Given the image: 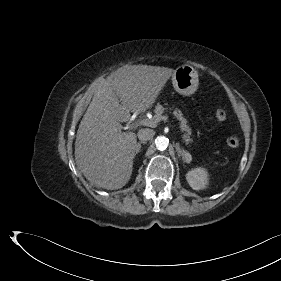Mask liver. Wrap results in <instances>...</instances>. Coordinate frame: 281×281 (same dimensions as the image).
Segmentation results:
<instances>
[{"label": "liver", "mask_w": 281, "mask_h": 281, "mask_svg": "<svg viewBox=\"0 0 281 281\" xmlns=\"http://www.w3.org/2000/svg\"><path fill=\"white\" fill-rule=\"evenodd\" d=\"M174 71L131 65L100 79L75 141L76 164L93 185L116 190L130 180L137 139L120 122L151 108Z\"/></svg>", "instance_id": "1"}]
</instances>
